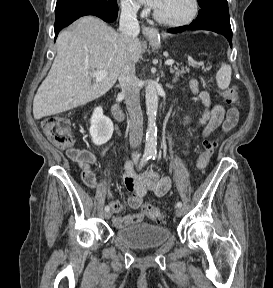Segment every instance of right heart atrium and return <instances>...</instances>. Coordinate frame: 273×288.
Listing matches in <instances>:
<instances>
[{"mask_svg":"<svg viewBox=\"0 0 273 288\" xmlns=\"http://www.w3.org/2000/svg\"><path fill=\"white\" fill-rule=\"evenodd\" d=\"M122 12L131 17L138 18L144 14L136 0H119Z\"/></svg>","mask_w":273,"mask_h":288,"instance_id":"right-heart-atrium-1","label":"right heart atrium"}]
</instances>
